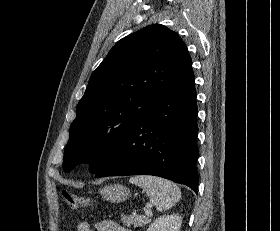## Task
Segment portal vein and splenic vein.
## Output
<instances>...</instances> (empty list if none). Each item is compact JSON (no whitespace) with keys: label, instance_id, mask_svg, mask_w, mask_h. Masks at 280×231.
<instances>
[{"label":"portal vein and splenic vein","instance_id":"portal-vein-and-splenic-vein-1","mask_svg":"<svg viewBox=\"0 0 280 231\" xmlns=\"http://www.w3.org/2000/svg\"><path fill=\"white\" fill-rule=\"evenodd\" d=\"M145 215H148V217H152L153 213L150 209V205H148V207H146Z\"/></svg>","mask_w":280,"mask_h":231}]
</instances>
